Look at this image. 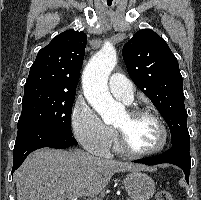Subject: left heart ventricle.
<instances>
[{"label":"left heart ventricle","instance_id":"left-heart-ventricle-1","mask_svg":"<svg viewBox=\"0 0 201 200\" xmlns=\"http://www.w3.org/2000/svg\"><path fill=\"white\" fill-rule=\"evenodd\" d=\"M115 127L122 129L129 144L139 151L155 148L162 138L157 122L149 116L132 119L128 113H125Z\"/></svg>","mask_w":201,"mask_h":200}]
</instances>
